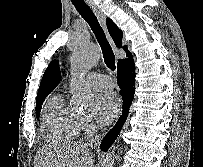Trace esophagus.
<instances>
[{
	"instance_id": "1",
	"label": "esophagus",
	"mask_w": 203,
	"mask_h": 167,
	"mask_svg": "<svg viewBox=\"0 0 203 167\" xmlns=\"http://www.w3.org/2000/svg\"><path fill=\"white\" fill-rule=\"evenodd\" d=\"M89 6L93 10V12L97 15V17L99 18L100 22L102 23V25L106 29V16L103 13V11L93 2H89ZM110 41H111V39H110Z\"/></svg>"
}]
</instances>
